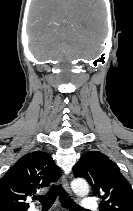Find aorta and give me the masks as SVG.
Returning <instances> with one entry per match:
<instances>
[{
  "label": "aorta",
  "mask_w": 133,
  "mask_h": 211,
  "mask_svg": "<svg viewBox=\"0 0 133 211\" xmlns=\"http://www.w3.org/2000/svg\"><path fill=\"white\" fill-rule=\"evenodd\" d=\"M71 188L74 193L80 197H84L89 193V185L87 181L82 178L74 179L71 182Z\"/></svg>",
  "instance_id": "762f6f07"
}]
</instances>
